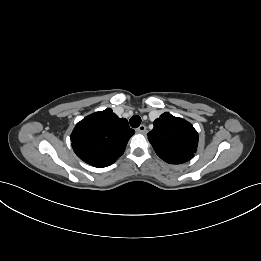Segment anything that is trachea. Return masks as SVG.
Segmentation results:
<instances>
[{
  "instance_id": "1",
  "label": "trachea",
  "mask_w": 261,
  "mask_h": 261,
  "mask_svg": "<svg viewBox=\"0 0 261 261\" xmlns=\"http://www.w3.org/2000/svg\"><path fill=\"white\" fill-rule=\"evenodd\" d=\"M129 122L132 128H137L141 124V117L134 115L130 118Z\"/></svg>"
}]
</instances>
